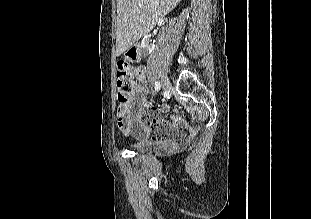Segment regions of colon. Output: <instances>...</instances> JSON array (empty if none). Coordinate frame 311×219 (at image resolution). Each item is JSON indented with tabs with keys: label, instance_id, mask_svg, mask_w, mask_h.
I'll return each mask as SVG.
<instances>
[{
	"label": "colon",
	"instance_id": "1",
	"mask_svg": "<svg viewBox=\"0 0 311 219\" xmlns=\"http://www.w3.org/2000/svg\"><path fill=\"white\" fill-rule=\"evenodd\" d=\"M133 48L129 50V54H133ZM116 81L118 89V101L120 105L127 104L134 88L135 69L127 60H118L116 64ZM159 137L152 135V140H157ZM182 143V142H178Z\"/></svg>",
	"mask_w": 311,
	"mask_h": 219
}]
</instances>
